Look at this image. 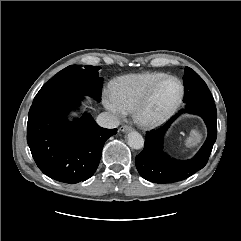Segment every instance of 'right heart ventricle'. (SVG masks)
Instances as JSON below:
<instances>
[{
	"mask_svg": "<svg viewBox=\"0 0 241 241\" xmlns=\"http://www.w3.org/2000/svg\"><path fill=\"white\" fill-rule=\"evenodd\" d=\"M166 74L142 72L118 77L112 81L110 91L126 111L133 110L147 90Z\"/></svg>",
	"mask_w": 241,
	"mask_h": 241,
	"instance_id": "1",
	"label": "right heart ventricle"
}]
</instances>
